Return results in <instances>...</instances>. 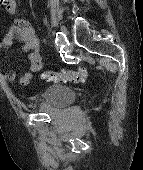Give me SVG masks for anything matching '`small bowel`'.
I'll return each mask as SVG.
<instances>
[{
	"instance_id": "small-bowel-1",
	"label": "small bowel",
	"mask_w": 143,
	"mask_h": 170,
	"mask_svg": "<svg viewBox=\"0 0 143 170\" xmlns=\"http://www.w3.org/2000/svg\"><path fill=\"white\" fill-rule=\"evenodd\" d=\"M2 5L5 12L11 15L15 14L17 10L15 0H6V3ZM16 41L22 42V50L27 53V58L30 62L29 70L20 78L21 85H28L33 75L42 69L40 43L32 24L28 20L23 18L15 19L11 29L0 41V51L9 48ZM3 76L9 82L16 79L14 71H6ZM24 80L27 81L26 84L23 83Z\"/></svg>"
}]
</instances>
